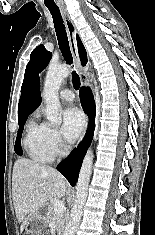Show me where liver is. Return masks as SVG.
I'll list each match as a JSON object with an SVG mask.
<instances>
[{
  "label": "liver",
  "instance_id": "liver-1",
  "mask_svg": "<svg viewBox=\"0 0 155 235\" xmlns=\"http://www.w3.org/2000/svg\"><path fill=\"white\" fill-rule=\"evenodd\" d=\"M67 189V181L54 168L19 158L13 167L12 197L20 231L39 208L53 198L64 197Z\"/></svg>",
  "mask_w": 155,
  "mask_h": 235
}]
</instances>
